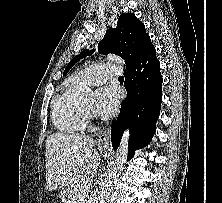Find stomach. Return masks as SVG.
I'll return each instance as SVG.
<instances>
[{
	"mask_svg": "<svg viewBox=\"0 0 222 203\" xmlns=\"http://www.w3.org/2000/svg\"><path fill=\"white\" fill-rule=\"evenodd\" d=\"M62 198H65V200H69L70 195H64V196H62Z\"/></svg>",
	"mask_w": 222,
	"mask_h": 203,
	"instance_id": "stomach-1",
	"label": "stomach"
}]
</instances>
